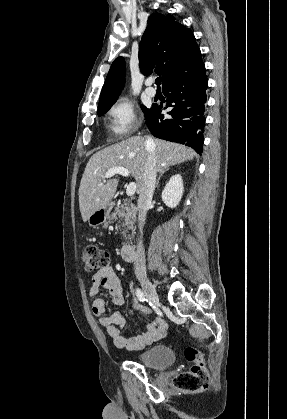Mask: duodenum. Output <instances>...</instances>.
Returning a JSON list of instances; mask_svg holds the SVG:
<instances>
[{
  "label": "duodenum",
  "mask_w": 287,
  "mask_h": 419,
  "mask_svg": "<svg viewBox=\"0 0 287 419\" xmlns=\"http://www.w3.org/2000/svg\"><path fill=\"white\" fill-rule=\"evenodd\" d=\"M136 249L132 244H125L121 248V257L124 261L132 262L136 259Z\"/></svg>",
  "instance_id": "duodenum-1"
}]
</instances>
